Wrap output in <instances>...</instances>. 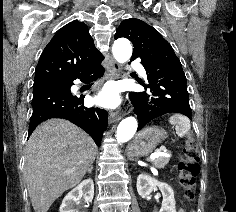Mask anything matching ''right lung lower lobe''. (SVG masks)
Listing matches in <instances>:
<instances>
[{
  "label": "right lung lower lobe",
  "instance_id": "98d812e1",
  "mask_svg": "<svg viewBox=\"0 0 236 212\" xmlns=\"http://www.w3.org/2000/svg\"><path fill=\"white\" fill-rule=\"evenodd\" d=\"M102 61V60H101ZM98 61L83 73L67 81L43 80L34 82L29 134L35 127L51 118H63L85 130L100 146L102 133L108 124V114L100 108L84 106V96H73L70 88L75 79L84 82L97 80L103 76L105 69Z\"/></svg>",
  "mask_w": 236,
  "mask_h": 212
}]
</instances>
